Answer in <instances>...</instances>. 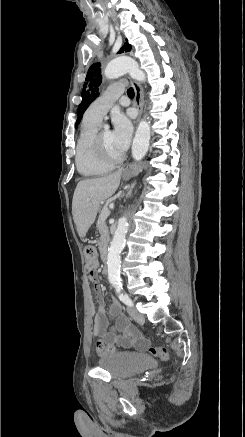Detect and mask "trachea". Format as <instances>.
<instances>
[{
  "instance_id": "3493384b",
  "label": "trachea",
  "mask_w": 245,
  "mask_h": 437,
  "mask_svg": "<svg viewBox=\"0 0 245 437\" xmlns=\"http://www.w3.org/2000/svg\"><path fill=\"white\" fill-rule=\"evenodd\" d=\"M127 95H128L129 97H134V95H135V93H134V89H133V88H129V89L127 90Z\"/></svg>"
}]
</instances>
